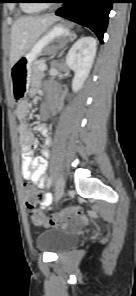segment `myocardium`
Listing matches in <instances>:
<instances>
[{
  "instance_id": "1",
  "label": "myocardium",
  "mask_w": 136,
  "mask_h": 296,
  "mask_svg": "<svg viewBox=\"0 0 136 296\" xmlns=\"http://www.w3.org/2000/svg\"><path fill=\"white\" fill-rule=\"evenodd\" d=\"M44 5H48V4H45V3H44V4H42V6H44Z\"/></svg>"
}]
</instances>
